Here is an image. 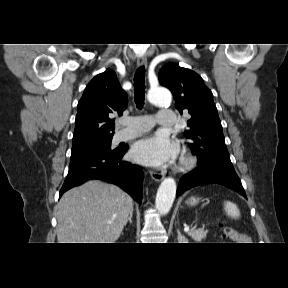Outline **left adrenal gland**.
Returning <instances> with one entry per match:
<instances>
[{
    "label": "left adrenal gland",
    "instance_id": "a2214340",
    "mask_svg": "<svg viewBox=\"0 0 288 288\" xmlns=\"http://www.w3.org/2000/svg\"><path fill=\"white\" fill-rule=\"evenodd\" d=\"M177 240H178V243H188V239L185 238V236L181 235L180 231L177 230Z\"/></svg>",
    "mask_w": 288,
    "mask_h": 288
}]
</instances>
